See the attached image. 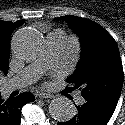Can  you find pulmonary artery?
I'll list each match as a JSON object with an SVG mask.
<instances>
[{
    "mask_svg": "<svg viewBox=\"0 0 125 125\" xmlns=\"http://www.w3.org/2000/svg\"><path fill=\"white\" fill-rule=\"evenodd\" d=\"M66 42V36L62 30L49 32L46 35L45 47L40 57L17 75L5 81L3 84L4 91L11 92L36 82L43 71L59 63L66 48ZM76 101L78 104L84 103V99L81 96H78Z\"/></svg>",
    "mask_w": 125,
    "mask_h": 125,
    "instance_id": "e3ab8cb5",
    "label": "pulmonary artery"
}]
</instances>
